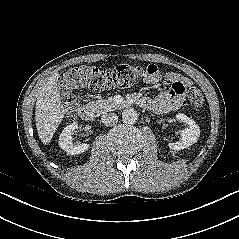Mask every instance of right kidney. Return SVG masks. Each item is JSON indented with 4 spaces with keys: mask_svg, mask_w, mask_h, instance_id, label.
Returning <instances> with one entry per match:
<instances>
[{
    "mask_svg": "<svg viewBox=\"0 0 239 239\" xmlns=\"http://www.w3.org/2000/svg\"><path fill=\"white\" fill-rule=\"evenodd\" d=\"M78 129V123L73 122L72 124L66 126L59 137V146L68 154L76 155L81 154L88 150L89 144L82 143L78 145L73 144V131Z\"/></svg>",
    "mask_w": 239,
    "mask_h": 239,
    "instance_id": "ca27d5eb",
    "label": "right kidney"
}]
</instances>
